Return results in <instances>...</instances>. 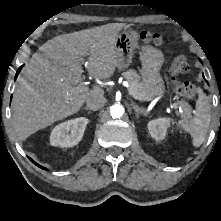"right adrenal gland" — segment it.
Wrapping results in <instances>:
<instances>
[{"label":"right adrenal gland","mask_w":221,"mask_h":221,"mask_svg":"<svg viewBox=\"0 0 221 221\" xmlns=\"http://www.w3.org/2000/svg\"><path fill=\"white\" fill-rule=\"evenodd\" d=\"M83 109L88 111V113H91L87 107H84Z\"/></svg>","instance_id":"obj_1"}]
</instances>
